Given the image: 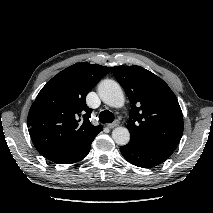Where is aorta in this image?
Instances as JSON below:
<instances>
[{
  "label": "aorta",
  "mask_w": 213,
  "mask_h": 213,
  "mask_svg": "<svg viewBox=\"0 0 213 213\" xmlns=\"http://www.w3.org/2000/svg\"><path fill=\"white\" fill-rule=\"evenodd\" d=\"M102 101L110 107L120 108L125 98L121 86L114 80H104L98 86ZM112 138L118 145H126L130 141V133L125 127H117L112 131Z\"/></svg>",
  "instance_id": "1"
}]
</instances>
